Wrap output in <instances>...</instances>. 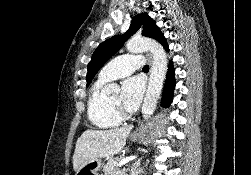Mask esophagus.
Returning <instances> with one entry per match:
<instances>
[{
	"instance_id": "esophagus-1",
	"label": "esophagus",
	"mask_w": 251,
	"mask_h": 175,
	"mask_svg": "<svg viewBox=\"0 0 251 175\" xmlns=\"http://www.w3.org/2000/svg\"><path fill=\"white\" fill-rule=\"evenodd\" d=\"M146 57H147V59H148V62H149V64H150V67H151L152 62H153L152 55H151L150 53H146Z\"/></svg>"
}]
</instances>
